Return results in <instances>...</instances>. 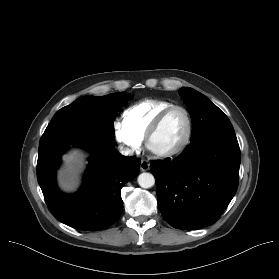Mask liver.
Here are the masks:
<instances>
[{
  "label": "liver",
  "mask_w": 279,
  "mask_h": 279,
  "mask_svg": "<svg viewBox=\"0 0 279 279\" xmlns=\"http://www.w3.org/2000/svg\"><path fill=\"white\" fill-rule=\"evenodd\" d=\"M66 168L60 171V185L64 190L71 191L77 185V173L83 165V155L74 151L63 157Z\"/></svg>",
  "instance_id": "liver-1"
}]
</instances>
